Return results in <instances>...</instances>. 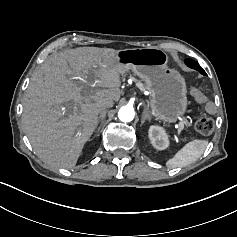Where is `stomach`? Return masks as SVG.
<instances>
[{
	"instance_id": "1",
	"label": "stomach",
	"mask_w": 237,
	"mask_h": 237,
	"mask_svg": "<svg viewBox=\"0 0 237 237\" xmlns=\"http://www.w3.org/2000/svg\"><path fill=\"white\" fill-rule=\"evenodd\" d=\"M119 74L132 70L150 92L154 115L166 122H176L186 111V82L175 69L168 67L167 53L157 47L119 50L115 54Z\"/></svg>"
}]
</instances>
